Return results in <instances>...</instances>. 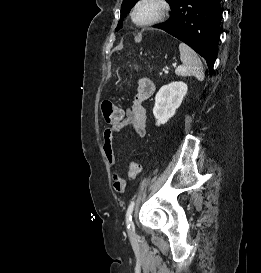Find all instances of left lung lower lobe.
I'll return each mask as SVG.
<instances>
[{"label": "left lung lower lobe", "mask_w": 261, "mask_h": 273, "mask_svg": "<svg viewBox=\"0 0 261 273\" xmlns=\"http://www.w3.org/2000/svg\"><path fill=\"white\" fill-rule=\"evenodd\" d=\"M170 19L154 27L162 29L205 58L210 73L217 57L220 0H176Z\"/></svg>", "instance_id": "obj_1"}]
</instances>
